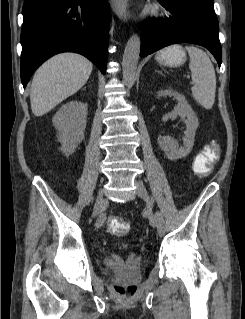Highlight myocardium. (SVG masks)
I'll use <instances>...</instances> for the list:
<instances>
[{
    "instance_id": "myocardium-1",
    "label": "myocardium",
    "mask_w": 245,
    "mask_h": 319,
    "mask_svg": "<svg viewBox=\"0 0 245 319\" xmlns=\"http://www.w3.org/2000/svg\"><path fill=\"white\" fill-rule=\"evenodd\" d=\"M149 12L154 16H158L160 14V9L158 6H151Z\"/></svg>"
}]
</instances>
